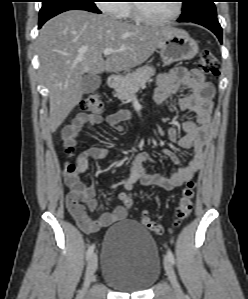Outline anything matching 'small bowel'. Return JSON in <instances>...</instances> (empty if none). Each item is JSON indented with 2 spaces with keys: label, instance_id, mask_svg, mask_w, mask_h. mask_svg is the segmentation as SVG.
Returning a JSON list of instances; mask_svg holds the SVG:
<instances>
[{
  "label": "small bowel",
  "instance_id": "c3829d8e",
  "mask_svg": "<svg viewBox=\"0 0 248 299\" xmlns=\"http://www.w3.org/2000/svg\"><path fill=\"white\" fill-rule=\"evenodd\" d=\"M183 88L189 90L183 94ZM172 95H177L176 107L185 112L195 114L196 119H185L182 127L185 131L183 137H179L173 127L168 129V135L172 142L178 143L181 148L192 149L190 160L182 167L175 170L170 176L158 173H149L146 165L153 162L150 152H140L135 155L131 163L129 175L119 182L124 189L119 193V200L124 203L129 198L128 192L134 183L140 180L145 186H158L165 190H173L185 182L191 180L197 171L203 166L205 159V146L209 139L212 111L213 86L204 74L197 69L175 68L167 74H162L158 79V85L154 92L157 105L161 106ZM128 115L120 111L109 115L105 120L99 115L79 114L63 130L65 145H72L80 140L85 125H99L105 122L112 128H121V122ZM175 164L181 162L180 157L170 150H163ZM107 150L101 147L87 146L77 158V174L83 175L89 164L90 158H104ZM83 198L90 209L98 206L94 199L96 190L93 185L83 183ZM127 209L124 204L118 205L112 212H105L98 218L89 217L86 212L83 217L73 216L77 225L86 233H95L102 228L110 226L116 221L126 217Z\"/></svg>",
  "mask_w": 248,
  "mask_h": 299
}]
</instances>
